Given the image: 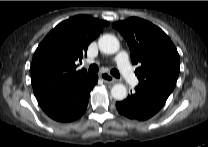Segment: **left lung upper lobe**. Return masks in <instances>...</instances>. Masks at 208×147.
Returning <instances> with one entry per match:
<instances>
[{"instance_id":"left-lung-upper-lobe-1","label":"left lung upper lobe","mask_w":208,"mask_h":147,"mask_svg":"<svg viewBox=\"0 0 208 147\" xmlns=\"http://www.w3.org/2000/svg\"><path fill=\"white\" fill-rule=\"evenodd\" d=\"M113 27L127 41L133 64L140 63L135 74L139 85L170 95L180 70V59L170 38L157 26L140 18L118 21Z\"/></svg>"}]
</instances>
